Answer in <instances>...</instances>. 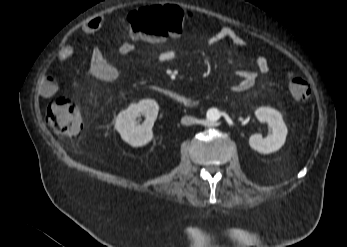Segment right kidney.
Segmentation results:
<instances>
[{
	"label": "right kidney",
	"mask_w": 347,
	"mask_h": 247,
	"mask_svg": "<svg viewBox=\"0 0 347 247\" xmlns=\"http://www.w3.org/2000/svg\"><path fill=\"white\" fill-rule=\"evenodd\" d=\"M159 112V105L155 100L144 99L131 104L116 117L115 128L121 138L133 147L143 146L153 138L152 127ZM143 114L146 119L143 124H137L136 118Z\"/></svg>",
	"instance_id": "right-kidney-1"
}]
</instances>
